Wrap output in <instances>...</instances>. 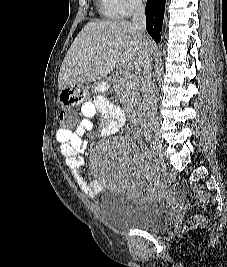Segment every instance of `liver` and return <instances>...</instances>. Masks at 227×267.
Segmentation results:
<instances>
[{
    "mask_svg": "<svg viewBox=\"0 0 227 267\" xmlns=\"http://www.w3.org/2000/svg\"><path fill=\"white\" fill-rule=\"evenodd\" d=\"M151 38L145 37L124 19L87 23L73 41L60 68L58 85L102 80L114 68L140 72L145 49L152 51Z\"/></svg>",
    "mask_w": 227,
    "mask_h": 267,
    "instance_id": "obj_1",
    "label": "liver"
}]
</instances>
